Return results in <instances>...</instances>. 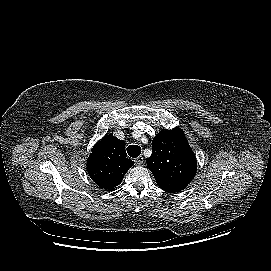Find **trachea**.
<instances>
[{"instance_id":"1","label":"trachea","mask_w":271,"mask_h":271,"mask_svg":"<svg viewBox=\"0 0 271 271\" xmlns=\"http://www.w3.org/2000/svg\"><path fill=\"white\" fill-rule=\"evenodd\" d=\"M127 153L132 158H137L141 154V147L138 145H129L127 147Z\"/></svg>"}]
</instances>
